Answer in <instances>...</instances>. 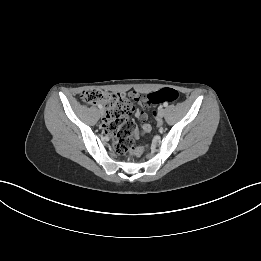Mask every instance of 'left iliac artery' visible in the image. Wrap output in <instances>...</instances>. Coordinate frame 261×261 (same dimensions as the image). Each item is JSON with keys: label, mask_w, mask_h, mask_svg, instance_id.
I'll use <instances>...</instances> for the list:
<instances>
[{"label": "left iliac artery", "mask_w": 261, "mask_h": 261, "mask_svg": "<svg viewBox=\"0 0 261 261\" xmlns=\"http://www.w3.org/2000/svg\"><path fill=\"white\" fill-rule=\"evenodd\" d=\"M163 106H164V107H167V106H168V103H167V102H164V103H163Z\"/></svg>", "instance_id": "44dca946"}]
</instances>
